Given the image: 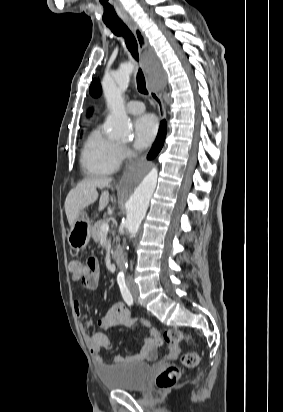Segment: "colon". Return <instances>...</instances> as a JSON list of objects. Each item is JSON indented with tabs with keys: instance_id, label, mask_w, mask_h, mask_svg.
Returning <instances> with one entry per match:
<instances>
[{
	"instance_id": "colon-1",
	"label": "colon",
	"mask_w": 283,
	"mask_h": 412,
	"mask_svg": "<svg viewBox=\"0 0 283 412\" xmlns=\"http://www.w3.org/2000/svg\"><path fill=\"white\" fill-rule=\"evenodd\" d=\"M98 263L94 257H89L85 262L80 259H72L68 263V270L74 280H82L86 275L97 270ZM182 342L189 343L190 337L178 329H168L154 337L155 346L163 344L178 345ZM199 363V355L196 352H187L181 357L180 365L173 364L161 372L156 379V386L160 391L172 387L179 379L182 367H195Z\"/></svg>"
}]
</instances>
